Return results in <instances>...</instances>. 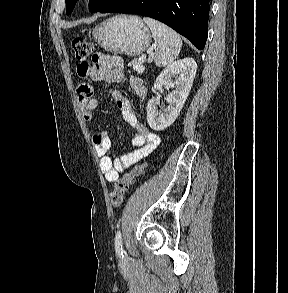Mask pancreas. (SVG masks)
I'll return each instance as SVG.
<instances>
[{
	"label": "pancreas",
	"instance_id": "cf45deb5",
	"mask_svg": "<svg viewBox=\"0 0 288 293\" xmlns=\"http://www.w3.org/2000/svg\"><path fill=\"white\" fill-rule=\"evenodd\" d=\"M139 64H141V62H139V61H134L133 62V65H139Z\"/></svg>",
	"mask_w": 288,
	"mask_h": 293
}]
</instances>
